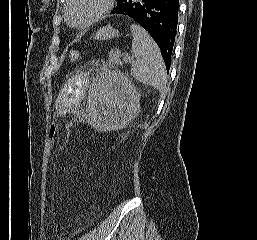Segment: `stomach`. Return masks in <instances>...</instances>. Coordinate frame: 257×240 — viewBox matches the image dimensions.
Masks as SVG:
<instances>
[{
  "label": "stomach",
  "instance_id": "obj_1",
  "mask_svg": "<svg viewBox=\"0 0 257 240\" xmlns=\"http://www.w3.org/2000/svg\"><path fill=\"white\" fill-rule=\"evenodd\" d=\"M118 30L114 29L112 26L107 25L97 30L94 35L95 40H108L114 37H118Z\"/></svg>",
  "mask_w": 257,
  "mask_h": 240
}]
</instances>
